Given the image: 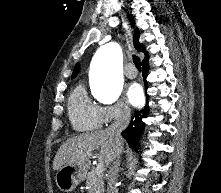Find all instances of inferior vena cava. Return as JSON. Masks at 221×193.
Listing matches in <instances>:
<instances>
[{"instance_id":"inferior-vena-cava-1","label":"inferior vena cava","mask_w":221,"mask_h":193,"mask_svg":"<svg viewBox=\"0 0 221 193\" xmlns=\"http://www.w3.org/2000/svg\"><path fill=\"white\" fill-rule=\"evenodd\" d=\"M130 118H131L130 109L126 107L120 108L114 123H112L111 126L109 127V130L114 135L116 141H119L122 138L121 132L128 126ZM120 154L121 150L115 156L112 163V167L110 168L107 193H118L116 183L118 178L119 166L121 162Z\"/></svg>"}]
</instances>
